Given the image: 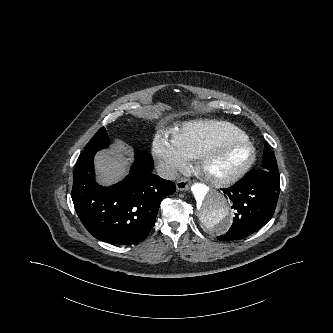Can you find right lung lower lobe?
Wrapping results in <instances>:
<instances>
[{
  "mask_svg": "<svg viewBox=\"0 0 333 333\" xmlns=\"http://www.w3.org/2000/svg\"><path fill=\"white\" fill-rule=\"evenodd\" d=\"M95 154L82 152L74 170L72 200L78 217L101 241L136 244L152 229L161 200L175 192V184L152 174V156L139 153L123 181L99 186L94 179Z\"/></svg>",
  "mask_w": 333,
  "mask_h": 333,
  "instance_id": "1",
  "label": "right lung lower lobe"
}]
</instances>
